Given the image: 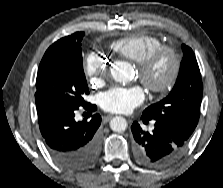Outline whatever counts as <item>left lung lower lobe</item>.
<instances>
[{
	"label": "left lung lower lobe",
	"instance_id": "1",
	"mask_svg": "<svg viewBox=\"0 0 223 188\" xmlns=\"http://www.w3.org/2000/svg\"><path fill=\"white\" fill-rule=\"evenodd\" d=\"M131 130L135 139V158L148 167L161 168L172 164L188 142L175 130L157 121L152 132L142 130L137 122H133Z\"/></svg>",
	"mask_w": 223,
	"mask_h": 188
}]
</instances>
